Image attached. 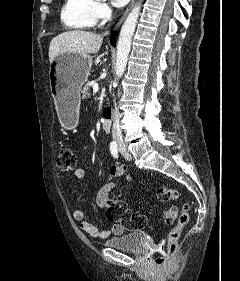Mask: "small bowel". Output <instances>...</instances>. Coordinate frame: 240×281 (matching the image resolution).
<instances>
[{"mask_svg": "<svg viewBox=\"0 0 240 281\" xmlns=\"http://www.w3.org/2000/svg\"><path fill=\"white\" fill-rule=\"evenodd\" d=\"M85 176V170L83 168H77L74 172V177L81 179ZM124 176L128 182L133 181V174L128 169L121 165H113L109 168L107 174L106 183L98 190L96 195V204L101 209L107 208V203L111 190L116 186L114 179ZM72 192L76 194L75 187L72 188ZM73 218L79 222L80 229L87 233L89 236L96 239H106L111 234L120 235L123 233L124 228L115 224L110 230L99 229L94 226L91 222L85 220V215L80 207H75L72 211Z\"/></svg>", "mask_w": 240, "mask_h": 281, "instance_id": "c3829d8e", "label": "small bowel"}]
</instances>
